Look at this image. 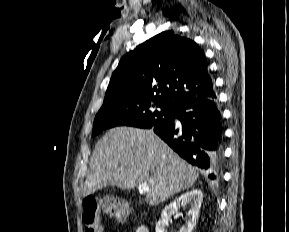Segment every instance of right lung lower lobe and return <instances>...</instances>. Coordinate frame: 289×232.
<instances>
[{
  "mask_svg": "<svg viewBox=\"0 0 289 232\" xmlns=\"http://www.w3.org/2000/svg\"><path fill=\"white\" fill-rule=\"evenodd\" d=\"M182 127L177 126L175 119ZM182 158L198 168L212 171L215 179L223 161V128L217 96L185 102L175 108L174 119L151 128Z\"/></svg>",
  "mask_w": 289,
  "mask_h": 232,
  "instance_id": "obj_1",
  "label": "right lung lower lobe"
}]
</instances>
